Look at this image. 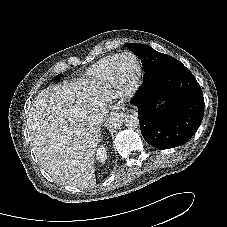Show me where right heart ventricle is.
Returning <instances> with one entry per match:
<instances>
[{
	"instance_id": "obj_1",
	"label": "right heart ventricle",
	"mask_w": 227,
	"mask_h": 227,
	"mask_svg": "<svg viewBox=\"0 0 227 227\" xmlns=\"http://www.w3.org/2000/svg\"><path fill=\"white\" fill-rule=\"evenodd\" d=\"M119 54L110 55L101 59L95 64L89 72V75L94 80L108 81L112 79V72Z\"/></svg>"
}]
</instances>
